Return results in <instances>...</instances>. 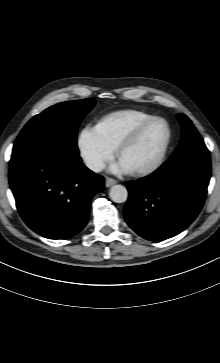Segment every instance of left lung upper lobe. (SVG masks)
Here are the masks:
<instances>
[{
	"label": "left lung upper lobe",
	"mask_w": 220,
	"mask_h": 363,
	"mask_svg": "<svg viewBox=\"0 0 220 363\" xmlns=\"http://www.w3.org/2000/svg\"><path fill=\"white\" fill-rule=\"evenodd\" d=\"M178 117L182 125V138L179 146L177 147L176 151L172 154V156L178 155L180 153L189 150L208 151V149L204 144L203 139L194 128L191 120L188 117H186L184 114H179Z\"/></svg>",
	"instance_id": "obj_1"
}]
</instances>
